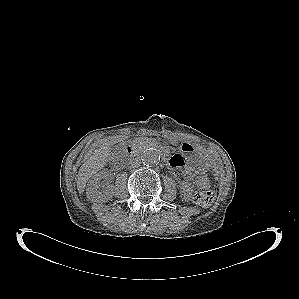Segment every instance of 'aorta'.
Masks as SVG:
<instances>
[{
	"mask_svg": "<svg viewBox=\"0 0 299 299\" xmlns=\"http://www.w3.org/2000/svg\"><path fill=\"white\" fill-rule=\"evenodd\" d=\"M142 161L146 165H156L160 161V153L155 148H149L142 154Z\"/></svg>",
	"mask_w": 299,
	"mask_h": 299,
	"instance_id": "1",
	"label": "aorta"
}]
</instances>
